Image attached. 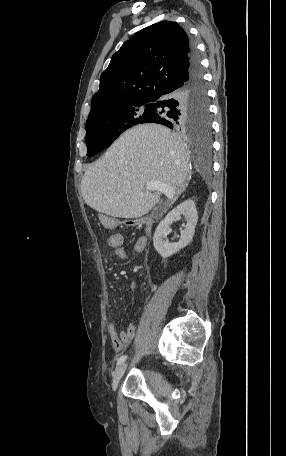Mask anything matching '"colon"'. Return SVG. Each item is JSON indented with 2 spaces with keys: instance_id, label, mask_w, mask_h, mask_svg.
<instances>
[{
  "instance_id": "colon-1",
  "label": "colon",
  "mask_w": 286,
  "mask_h": 456,
  "mask_svg": "<svg viewBox=\"0 0 286 456\" xmlns=\"http://www.w3.org/2000/svg\"><path fill=\"white\" fill-rule=\"evenodd\" d=\"M110 242L113 243V244L116 243L117 242V238L115 236H111L110 237Z\"/></svg>"
}]
</instances>
